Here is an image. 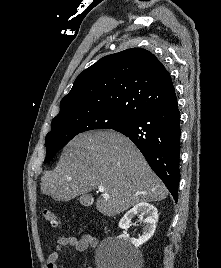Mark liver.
<instances>
[{"mask_svg":"<svg viewBox=\"0 0 221 268\" xmlns=\"http://www.w3.org/2000/svg\"><path fill=\"white\" fill-rule=\"evenodd\" d=\"M99 186L109 198L99 197L96 208L109 217L168 195L138 148L112 130L75 137L63 149L57 167L44 173L40 184L41 192L56 201L83 197Z\"/></svg>","mask_w":221,"mask_h":268,"instance_id":"obj_1","label":"liver"}]
</instances>
